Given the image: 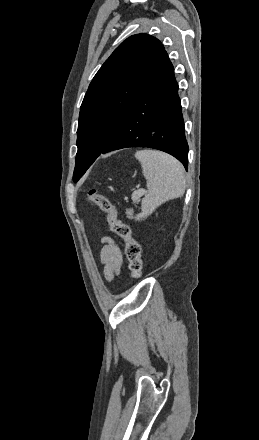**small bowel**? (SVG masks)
Segmentation results:
<instances>
[{"label": "small bowel", "instance_id": "obj_1", "mask_svg": "<svg viewBox=\"0 0 259 440\" xmlns=\"http://www.w3.org/2000/svg\"><path fill=\"white\" fill-rule=\"evenodd\" d=\"M100 260L104 266V276L107 281L111 282L120 272L123 264V255L120 247L110 237L102 239Z\"/></svg>", "mask_w": 259, "mask_h": 440}]
</instances>
